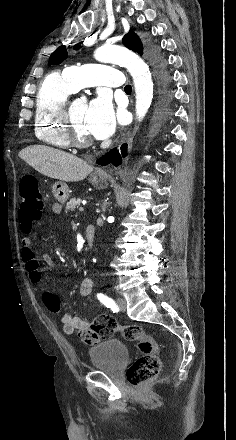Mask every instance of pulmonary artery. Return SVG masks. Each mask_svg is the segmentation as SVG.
<instances>
[{"label": "pulmonary artery", "mask_w": 236, "mask_h": 440, "mask_svg": "<svg viewBox=\"0 0 236 440\" xmlns=\"http://www.w3.org/2000/svg\"><path fill=\"white\" fill-rule=\"evenodd\" d=\"M64 75L75 91L82 87L105 86L125 88L126 83L119 69L102 64L67 67Z\"/></svg>", "instance_id": "e3ab8cb5"}]
</instances>
